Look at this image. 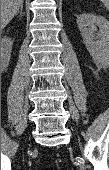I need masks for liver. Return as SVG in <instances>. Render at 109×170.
I'll list each match as a JSON object with an SVG mask.
<instances>
[{
	"instance_id": "1",
	"label": "liver",
	"mask_w": 109,
	"mask_h": 170,
	"mask_svg": "<svg viewBox=\"0 0 109 170\" xmlns=\"http://www.w3.org/2000/svg\"><path fill=\"white\" fill-rule=\"evenodd\" d=\"M23 0H1V27L4 28L19 11Z\"/></svg>"
}]
</instances>
